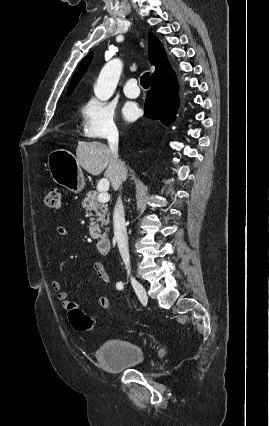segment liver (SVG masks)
Instances as JSON below:
<instances>
[{"label":"liver","mask_w":269,"mask_h":426,"mask_svg":"<svg viewBox=\"0 0 269 426\" xmlns=\"http://www.w3.org/2000/svg\"><path fill=\"white\" fill-rule=\"evenodd\" d=\"M78 164L91 175L97 176L104 170V177L113 189H117L127 177V169L120 170L110 148L101 142H78L76 149Z\"/></svg>","instance_id":"liver-1"}]
</instances>
